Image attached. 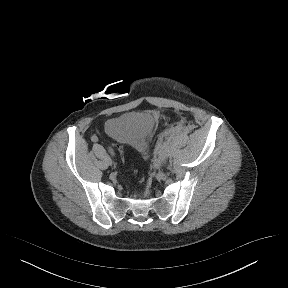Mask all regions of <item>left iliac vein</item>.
<instances>
[{
	"instance_id": "4c4485c4",
	"label": "left iliac vein",
	"mask_w": 288,
	"mask_h": 288,
	"mask_svg": "<svg viewBox=\"0 0 288 288\" xmlns=\"http://www.w3.org/2000/svg\"><path fill=\"white\" fill-rule=\"evenodd\" d=\"M159 163H164L166 161L165 153H162L158 159Z\"/></svg>"
}]
</instances>
